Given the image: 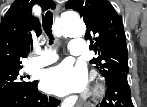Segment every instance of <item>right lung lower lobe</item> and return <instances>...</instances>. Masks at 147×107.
<instances>
[{
	"instance_id": "1",
	"label": "right lung lower lobe",
	"mask_w": 147,
	"mask_h": 107,
	"mask_svg": "<svg viewBox=\"0 0 147 107\" xmlns=\"http://www.w3.org/2000/svg\"><path fill=\"white\" fill-rule=\"evenodd\" d=\"M37 84L0 97V107H57L60 101L38 92Z\"/></svg>"
}]
</instances>
